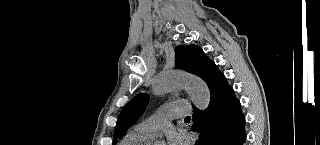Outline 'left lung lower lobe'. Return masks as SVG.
<instances>
[{"instance_id": "0a47b994", "label": "left lung lower lobe", "mask_w": 320, "mask_h": 145, "mask_svg": "<svg viewBox=\"0 0 320 145\" xmlns=\"http://www.w3.org/2000/svg\"><path fill=\"white\" fill-rule=\"evenodd\" d=\"M199 77L207 83L211 98L205 111H193L192 130L200 132L196 145H243L245 118L225 76L211 61Z\"/></svg>"}]
</instances>
